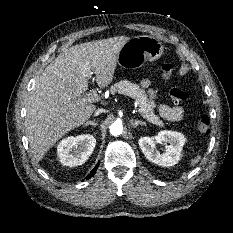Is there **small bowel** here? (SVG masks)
<instances>
[{
	"mask_svg": "<svg viewBox=\"0 0 233 233\" xmlns=\"http://www.w3.org/2000/svg\"><path fill=\"white\" fill-rule=\"evenodd\" d=\"M141 86L145 89H148V93L151 98L155 97V92L149 87V81L147 79H143L141 81ZM158 112L164 119L168 121H179L182 119L184 110L181 106H169L166 104H161L158 107Z\"/></svg>",
	"mask_w": 233,
	"mask_h": 233,
	"instance_id": "obj_1",
	"label": "small bowel"
}]
</instances>
